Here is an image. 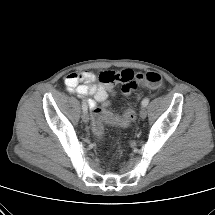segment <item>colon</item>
Segmentation results:
<instances>
[{"label":"colon","instance_id":"colon-1","mask_svg":"<svg viewBox=\"0 0 215 215\" xmlns=\"http://www.w3.org/2000/svg\"><path fill=\"white\" fill-rule=\"evenodd\" d=\"M134 83H142L152 88H157L162 84V77L157 72H148L146 74L134 75ZM136 118L135 110L130 106L121 117H113L111 114L95 109L92 112V131L101 138L104 133V122H111L120 127H126Z\"/></svg>","mask_w":215,"mask_h":215}]
</instances>
